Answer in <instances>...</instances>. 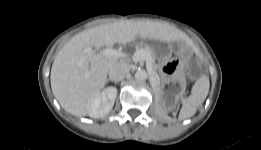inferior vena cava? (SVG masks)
<instances>
[{
	"mask_svg": "<svg viewBox=\"0 0 261 150\" xmlns=\"http://www.w3.org/2000/svg\"><path fill=\"white\" fill-rule=\"evenodd\" d=\"M108 74L110 80L114 82L121 81L130 74V66L125 62H119L110 68Z\"/></svg>",
	"mask_w": 261,
	"mask_h": 150,
	"instance_id": "1",
	"label": "inferior vena cava"
}]
</instances>
